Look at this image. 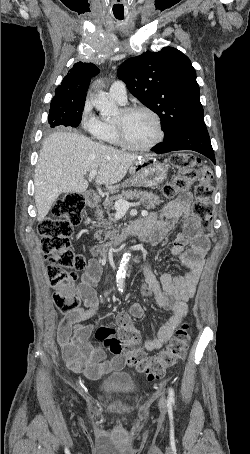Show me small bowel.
Returning a JSON list of instances; mask_svg holds the SVG:
<instances>
[{"mask_svg": "<svg viewBox=\"0 0 250 454\" xmlns=\"http://www.w3.org/2000/svg\"><path fill=\"white\" fill-rule=\"evenodd\" d=\"M190 205L191 195L181 194L165 206L160 221L150 216L136 225L144 241H161L179 220L182 221L184 231L175 239L170 249L171 253L177 256L187 268L184 274L176 276L163 274L158 280L149 268H143V295L154 296L160 308L170 310L173 314L154 338L145 339L144 348L148 352L160 349L187 315V301L195 293L204 265V256L209 248L207 237L200 232L197 222L190 216ZM100 275L99 262L90 260L76 288L85 309L66 313L57 329V342L67 367L74 373L83 374L91 380L98 379L112 370H120L125 365V359L121 355L107 358L101 347L90 342L94 331L93 325L81 324L82 321L97 314L99 300L95 287ZM144 312V305L135 303L128 315L140 318ZM123 314L125 313L118 314L117 318Z\"/></svg>", "mask_w": 250, "mask_h": 454, "instance_id": "1", "label": "small bowel"}]
</instances>
